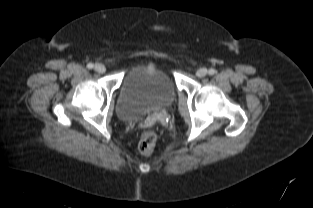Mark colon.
<instances>
[{
	"label": "colon",
	"instance_id": "1",
	"mask_svg": "<svg viewBox=\"0 0 313 208\" xmlns=\"http://www.w3.org/2000/svg\"><path fill=\"white\" fill-rule=\"evenodd\" d=\"M157 140V134L153 130L146 131L140 142H139V151L143 155H150L154 151Z\"/></svg>",
	"mask_w": 313,
	"mask_h": 208
}]
</instances>
